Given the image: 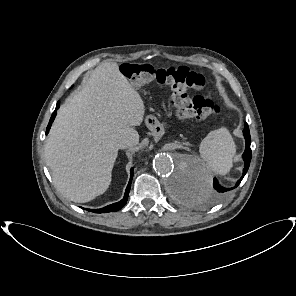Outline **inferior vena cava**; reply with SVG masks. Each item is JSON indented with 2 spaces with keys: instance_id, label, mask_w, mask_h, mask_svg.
Returning a JSON list of instances; mask_svg holds the SVG:
<instances>
[{
  "instance_id": "602c4592",
  "label": "inferior vena cava",
  "mask_w": 296,
  "mask_h": 296,
  "mask_svg": "<svg viewBox=\"0 0 296 296\" xmlns=\"http://www.w3.org/2000/svg\"><path fill=\"white\" fill-rule=\"evenodd\" d=\"M133 145V141L130 138H122L117 142V147L119 149H125Z\"/></svg>"
}]
</instances>
